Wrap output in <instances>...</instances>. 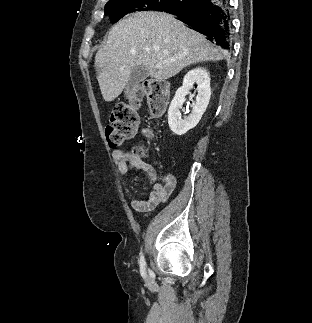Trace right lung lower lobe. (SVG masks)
<instances>
[{
    "label": "right lung lower lobe",
    "mask_w": 312,
    "mask_h": 323,
    "mask_svg": "<svg viewBox=\"0 0 312 323\" xmlns=\"http://www.w3.org/2000/svg\"><path fill=\"white\" fill-rule=\"evenodd\" d=\"M228 0H185L177 7L163 11L177 16L191 29L207 36V39L230 51L231 20Z\"/></svg>",
    "instance_id": "obj_1"
}]
</instances>
